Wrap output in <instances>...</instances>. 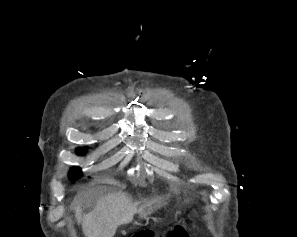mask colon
Segmentation results:
<instances>
[{
	"label": "colon",
	"instance_id": "obj_1",
	"mask_svg": "<svg viewBox=\"0 0 297 237\" xmlns=\"http://www.w3.org/2000/svg\"><path fill=\"white\" fill-rule=\"evenodd\" d=\"M168 236L170 237H186V232L183 227L177 225L174 229L168 232ZM132 237H154L152 232L144 231L133 235Z\"/></svg>",
	"mask_w": 297,
	"mask_h": 237
}]
</instances>
